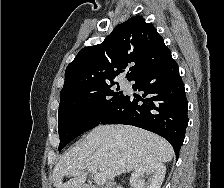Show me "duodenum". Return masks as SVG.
<instances>
[{
    "label": "duodenum",
    "mask_w": 224,
    "mask_h": 188,
    "mask_svg": "<svg viewBox=\"0 0 224 188\" xmlns=\"http://www.w3.org/2000/svg\"><path fill=\"white\" fill-rule=\"evenodd\" d=\"M84 188H97V187H95L93 185H86V186H84Z\"/></svg>",
    "instance_id": "duodenum-1"
}]
</instances>
